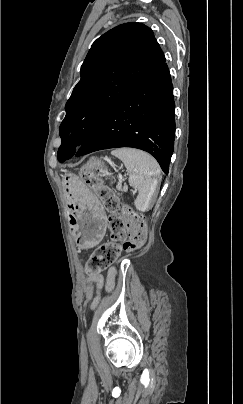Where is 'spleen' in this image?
Returning a JSON list of instances; mask_svg holds the SVG:
<instances>
[{"instance_id": "3e777b00", "label": "spleen", "mask_w": 243, "mask_h": 404, "mask_svg": "<svg viewBox=\"0 0 243 404\" xmlns=\"http://www.w3.org/2000/svg\"><path fill=\"white\" fill-rule=\"evenodd\" d=\"M111 154L123 162L129 172L130 186L139 192L134 200L136 210L147 212L152 208L157 178L161 174L158 162L147 152L136 148H116Z\"/></svg>"}]
</instances>
